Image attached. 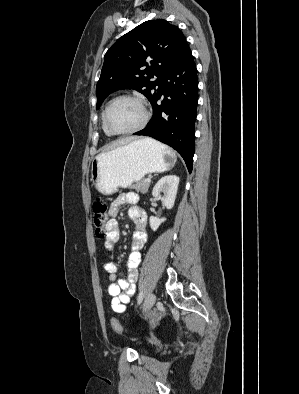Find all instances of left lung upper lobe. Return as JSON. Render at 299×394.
I'll return each mask as SVG.
<instances>
[{
  "mask_svg": "<svg viewBox=\"0 0 299 394\" xmlns=\"http://www.w3.org/2000/svg\"><path fill=\"white\" fill-rule=\"evenodd\" d=\"M186 45L180 29L163 19L143 22L122 36L104 56L96 87L97 109L109 94L119 89L137 90L150 101L160 76ZM154 76L158 78L152 81Z\"/></svg>",
  "mask_w": 299,
  "mask_h": 394,
  "instance_id": "obj_1",
  "label": "left lung upper lobe"
}]
</instances>
